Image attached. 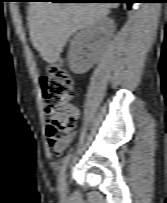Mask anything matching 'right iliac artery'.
Listing matches in <instances>:
<instances>
[{
	"label": "right iliac artery",
	"mask_w": 167,
	"mask_h": 203,
	"mask_svg": "<svg viewBox=\"0 0 167 203\" xmlns=\"http://www.w3.org/2000/svg\"><path fill=\"white\" fill-rule=\"evenodd\" d=\"M70 158H71V154H68V155L65 157V159L63 160V164H62V166H61V168H60V172H59V176H58V182H59V183L62 182V178H63V176H64V174H65V171H66V168H67V166H68V163H69ZM59 187H60V185H59Z\"/></svg>",
	"instance_id": "right-iliac-artery-1"
}]
</instances>
